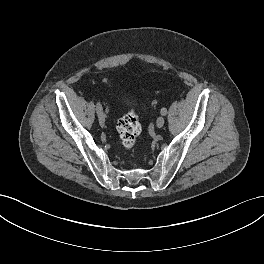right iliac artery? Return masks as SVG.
Returning <instances> with one entry per match:
<instances>
[{
  "instance_id": "1",
  "label": "right iliac artery",
  "mask_w": 264,
  "mask_h": 264,
  "mask_svg": "<svg viewBox=\"0 0 264 264\" xmlns=\"http://www.w3.org/2000/svg\"><path fill=\"white\" fill-rule=\"evenodd\" d=\"M96 109H97L98 114L103 113V108H102V105L100 104V102L96 103Z\"/></svg>"
}]
</instances>
